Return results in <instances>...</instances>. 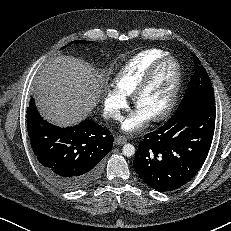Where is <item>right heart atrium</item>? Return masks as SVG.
Wrapping results in <instances>:
<instances>
[{
    "label": "right heart atrium",
    "instance_id": "obj_1",
    "mask_svg": "<svg viewBox=\"0 0 231 231\" xmlns=\"http://www.w3.org/2000/svg\"><path fill=\"white\" fill-rule=\"evenodd\" d=\"M103 106L106 117L119 120L122 110L127 106V96L116 87H107L103 95Z\"/></svg>",
    "mask_w": 231,
    "mask_h": 231
}]
</instances>
